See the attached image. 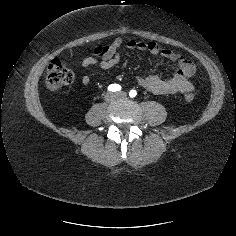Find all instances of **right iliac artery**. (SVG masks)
Masks as SVG:
<instances>
[{
  "label": "right iliac artery",
  "instance_id": "obj_1",
  "mask_svg": "<svg viewBox=\"0 0 236 236\" xmlns=\"http://www.w3.org/2000/svg\"><path fill=\"white\" fill-rule=\"evenodd\" d=\"M108 90L111 92H117L121 90V86L119 84H111L109 85Z\"/></svg>",
  "mask_w": 236,
  "mask_h": 236
}]
</instances>
